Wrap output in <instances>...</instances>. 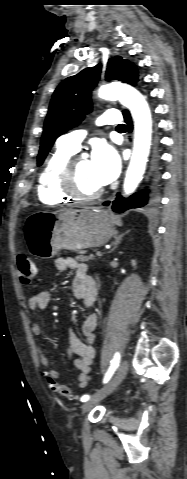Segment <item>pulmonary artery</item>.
Returning a JSON list of instances; mask_svg holds the SVG:
<instances>
[{
  "label": "pulmonary artery",
  "instance_id": "1",
  "mask_svg": "<svg viewBox=\"0 0 187 479\" xmlns=\"http://www.w3.org/2000/svg\"><path fill=\"white\" fill-rule=\"evenodd\" d=\"M121 121L120 112L116 109H109L104 112L97 120L99 125H118ZM86 130H74L62 135L58 139V143L71 150L78 151L80 144L86 136Z\"/></svg>",
  "mask_w": 187,
  "mask_h": 479
}]
</instances>
